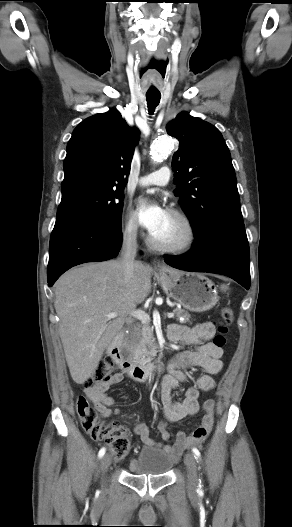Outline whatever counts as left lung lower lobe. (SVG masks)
<instances>
[{
	"instance_id": "1",
	"label": "left lung lower lobe",
	"mask_w": 292,
	"mask_h": 527,
	"mask_svg": "<svg viewBox=\"0 0 292 527\" xmlns=\"http://www.w3.org/2000/svg\"><path fill=\"white\" fill-rule=\"evenodd\" d=\"M165 262L186 271L226 275L250 288L249 244L245 229L222 228L195 238L192 248L180 256L164 255Z\"/></svg>"
}]
</instances>
